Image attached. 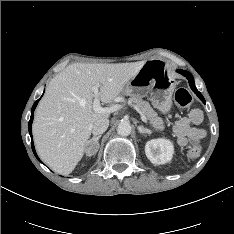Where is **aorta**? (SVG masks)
Returning a JSON list of instances; mask_svg holds the SVG:
<instances>
[{"instance_id":"762f6f07","label":"aorta","mask_w":234,"mask_h":234,"mask_svg":"<svg viewBox=\"0 0 234 234\" xmlns=\"http://www.w3.org/2000/svg\"><path fill=\"white\" fill-rule=\"evenodd\" d=\"M117 133L121 136H128L131 133V125L129 122H120L117 127Z\"/></svg>"}]
</instances>
